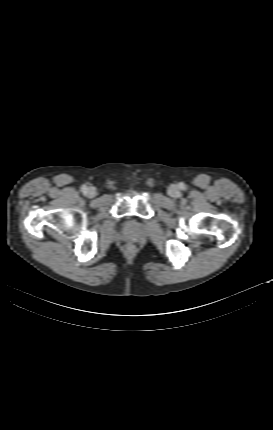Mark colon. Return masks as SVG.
I'll use <instances>...</instances> for the list:
<instances>
[{"label":"colon","mask_w":273,"mask_h":430,"mask_svg":"<svg viewBox=\"0 0 273 430\" xmlns=\"http://www.w3.org/2000/svg\"><path fill=\"white\" fill-rule=\"evenodd\" d=\"M149 185L152 186V183L150 182Z\"/></svg>","instance_id":"colon-1"}]
</instances>
